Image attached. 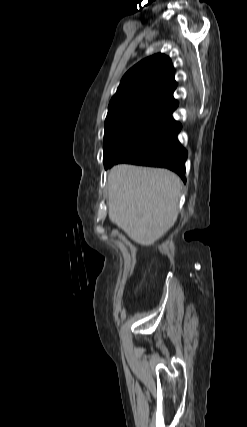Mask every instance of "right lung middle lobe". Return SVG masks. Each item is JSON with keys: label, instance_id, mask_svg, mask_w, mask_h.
Returning <instances> with one entry per match:
<instances>
[{"label": "right lung middle lobe", "instance_id": "1", "mask_svg": "<svg viewBox=\"0 0 247 427\" xmlns=\"http://www.w3.org/2000/svg\"><path fill=\"white\" fill-rule=\"evenodd\" d=\"M149 114L150 112L143 110H127L107 115L103 145L104 165L110 161L129 133Z\"/></svg>", "mask_w": 247, "mask_h": 427}]
</instances>
